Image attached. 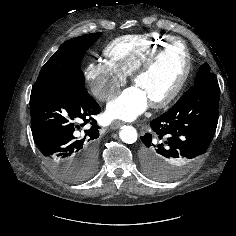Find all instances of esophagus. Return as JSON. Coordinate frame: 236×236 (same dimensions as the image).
Returning a JSON list of instances; mask_svg holds the SVG:
<instances>
[{
    "label": "esophagus",
    "mask_w": 236,
    "mask_h": 236,
    "mask_svg": "<svg viewBox=\"0 0 236 236\" xmlns=\"http://www.w3.org/2000/svg\"><path fill=\"white\" fill-rule=\"evenodd\" d=\"M122 122L121 121H114V122H112L111 123V125H110V128L111 129H117V128H119L120 126H122Z\"/></svg>",
    "instance_id": "1"
}]
</instances>
